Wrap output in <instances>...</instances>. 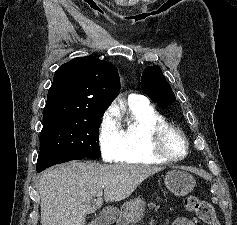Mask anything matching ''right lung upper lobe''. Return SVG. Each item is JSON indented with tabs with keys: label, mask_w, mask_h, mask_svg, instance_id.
Returning <instances> with one entry per match:
<instances>
[{
	"label": "right lung upper lobe",
	"mask_w": 237,
	"mask_h": 225,
	"mask_svg": "<svg viewBox=\"0 0 237 225\" xmlns=\"http://www.w3.org/2000/svg\"><path fill=\"white\" fill-rule=\"evenodd\" d=\"M119 91L118 71L112 63L93 57L75 58L55 72L44 120L58 116L102 115L108 100Z\"/></svg>",
	"instance_id": "1"
}]
</instances>
